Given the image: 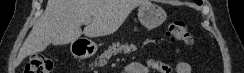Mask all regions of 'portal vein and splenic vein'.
Segmentation results:
<instances>
[{
	"instance_id": "18ae733b",
	"label": "portal vein and splenic vein",
	"mask_w": 244,
	"mask_h": 73,
	"mask_svg": "<svg viewBox=\"0 0 244 73\" xmlns=\"http://www.w3.org/2000/svg\"><path fill=\"white\" fill-rule=\"evenodd\" d=\"M91 22H92V20H91V19H87V20H85V21H84V23H83V24L88 25V24H90Z\"/></svg>"
}]
</instances>
